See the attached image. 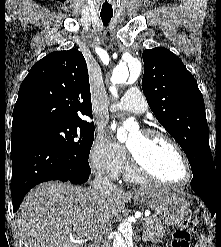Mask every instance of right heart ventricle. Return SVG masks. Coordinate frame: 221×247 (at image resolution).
I'll return each mask as SVG.
<instances>
[{
  "label": "right heart ventricle",
  "mask_w": 221,
  "mask_h": 247,
  "mask_svg": "<svg viewBox=\"0 0 221 247\" xmlns=\"http://www.w3.org/2000/svg\"><path fill=\"white\" fill-rule=\"evenodd\" d=\"M124 178L131 183H142L145 181L142 177L135 173L130 164H126L123 170Z\"/></svg>",
  "instance_id": "right-heart-ventricle-1"
}]
</instances>
